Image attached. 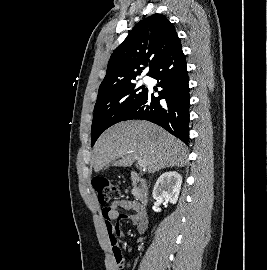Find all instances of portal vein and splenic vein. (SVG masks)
I'll return each mask as SVG.
<instances>
[{
  "mask_svg": "<svg viewBox=\"0 0 267 270\" xmlns=\"http://www.w3.org/2000/svg\"><path fill=\"white\" fill-rule=\"evenodd\" d=\"M136 160H137L138 164L140 165V167L145 168L146 165L142 159H140L139 157H136Z\"/></svg>",
  "mask_w": 267,
  "mask_h": 270,
  "instance_id": "1",
  "label": "portal vein and splenic vein"
}]
</instances>
